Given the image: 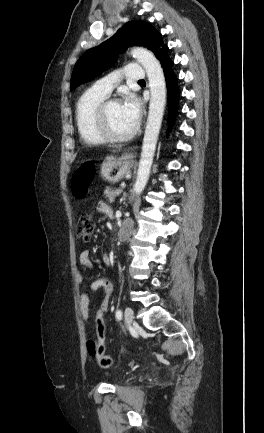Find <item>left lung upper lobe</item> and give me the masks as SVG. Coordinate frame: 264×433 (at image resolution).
Segmentation results:
<instances>
[{"mask_svg": "<svg viewBox=\"0 0 264 433\" xmlns=\"http://www.w3.org/2000/svg\"><path fill=\"white\" fill-rule=\"evenodd\" d=\"M133 45L147 47L158 59L168 51L161 34L150 23L142 20L129 21L110 39L90 49L78 60L72 73L71 90L99 76L114 64L118 50Z\"/></svg>", "mask_w": 264, "mask_h": 433, "instance_id": "obj_1", "label": "left lung upper lobe"}]
</instances>
